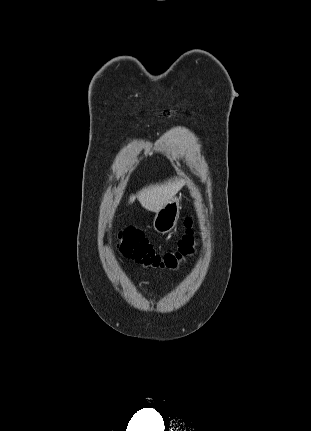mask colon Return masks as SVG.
Segmentation results:
<instances>
[{
    "instance_id": "colon-1",
    "label": "colon",
    "mask_w": 311,
    "mask_h": 431,
    "mask_svg": "<svg viewBox=\"0 0 311 431\" xmlns=\"http://www.w3.org/2000/svg\"><path fill=\"white\" fill-rule=\"evenodd\" d=\"M184 225L185 233L173 251L156 252L142 233L135 229H125L119 234V249L125 257L145 266L174 269L180 261L195 251L196 238L192 219L186 218Z\"/></svg>"
}]
</instances>
